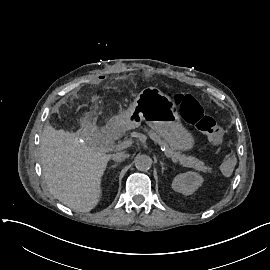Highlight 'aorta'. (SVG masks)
I'll use <instances>...</instances> for the list:
<instances>
[{
  "label": "aorta",
  "mask_w": 270,
  "mask_h": 270,
  "mask_svg": "<svg viewBox=\"0 0 270 270\" xmlns=\"http://www.w3.org/2000/svg\"><path fill=\"white\" fill-rule=\"evenodd\" d=\"M135 167L140 171H147L152 165V159L145 154L137 155L135 157Z\"/></svg>",
  "instance_id": "aorta-1"
}]
</instances>
